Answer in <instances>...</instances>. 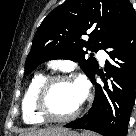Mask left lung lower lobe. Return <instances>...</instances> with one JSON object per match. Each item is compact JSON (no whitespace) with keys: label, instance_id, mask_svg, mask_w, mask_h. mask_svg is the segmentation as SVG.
<instances>
[{"label":"left lung lower lobe","instance_id":"left-lung-lower-lobe-1","mask_svg":"<svg viewBox=\"0 0 136 136\" xmlns=\"http://www.w3.org/2000/svg\"><path fill=\"white\" fill-rule=\"evenodd\" d=\"M103 49L113 62L106 63L107 80L96 84L95 98L86 115L64 127L87 129L102 136H126L136 90V14L133 6Z\"/></svg>","mask_w":136,"mask_h":136}]
</instances>
